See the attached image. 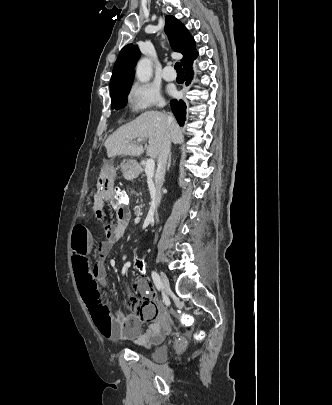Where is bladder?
Returning <instances> with one entry per match:
<instances>
[{"instance_id": "1", "label": "bladder", "mask_w": 332, "mask_h": 405, "mask_svg": "<svg viewBox=\"0 0 332 405\" xmlns=\"http://www.w3.org/2000/svg\"><path fill=\"white\" fill-rule=\"evenodd\" d=\"M165 335L161 334L160 339L154 343L145 346L146 349H152V359L156 362H165L168 358V348L163 344Z\"/></svg>"}]
</instances>
